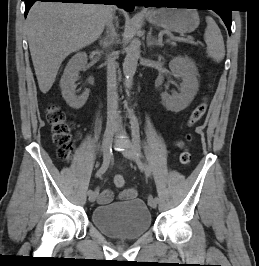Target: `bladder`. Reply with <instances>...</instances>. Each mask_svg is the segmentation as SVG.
Masks as SVG:
<instances>
[{"instance_id": "bladder-1", "label": "bladder", "mask_w": 259, "mask_h": 266, "mask_svg": "<svg viewBox=\"0 0 259 266\" xmlns=\"http://www.w3.org/2000/svg\"><path fill=\"white\" fill-rule=\"evenodd\" d=\"M91 222L108 237L134 240L150 230L152 216L143 200L133 198L95 207L91 213Z\"/></svg>"}]
</instances>
